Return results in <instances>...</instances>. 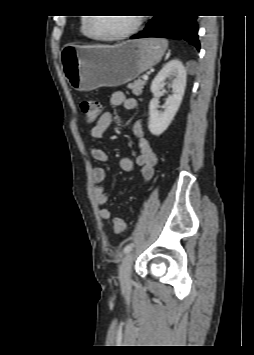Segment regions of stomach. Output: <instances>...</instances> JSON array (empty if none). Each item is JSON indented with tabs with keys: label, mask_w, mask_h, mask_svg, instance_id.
Returning a JSON list of instances; mask_svg holds the SVG:
<instances>
[{
	"label": "stomach",
	"mask_w": 254,
	"mask_h": 355,
	"mask_svg": "<svg viewBox=\"0 0 254 355\" xmlns=\"http://www.w3.org/2000/svg\"><path fill=\"white\" fill-rule=\"evenodd\" d=\"M168 43L146 38L108 46L66 45L60 53L64 75L78 91H92L102 86H119L156 65Z\"/></svg>",
	"instance_id": "0dacf381"
}]
</instances>
